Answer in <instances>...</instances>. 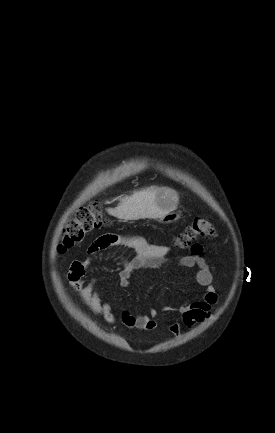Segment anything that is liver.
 <instances>
[{
  "mask_svg": "<svg viewBox=\"0 0 275 433\" xmlns=\"http://www.w3.org/2000/svg\"><path fill=\"white\" fill-rule=\"evenodd\" d=\"M157 190L158 188L151 187L135 191L131 196L121 198L120 204L116 208H108L107 212L123 220L159 218L164 213L157 207Z\"/></svg>",
  "mask_w": 275,
  "mask_h": 433,
  "instance_id": "6515ba94",
  "label": "liver"
}]
</instances>
